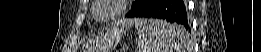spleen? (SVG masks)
Masks as SVG:
<instances>
[{"label":"spleen","mask_w":261,"mask_h":52,"mask_svg":"<svg viewBox=\"0 0 261 52\" xmlns=\"http://www.w3.org/2000/svg\"><path fill=\"white\" fill-rule=\"evenodd\" d=\"M142 52H181L187 45V36L175 24L158 19H139L135 22ZM172 33L171 38L165 34Z\"/></svg>","instance_id":"3e777b00"}]
</instances>
